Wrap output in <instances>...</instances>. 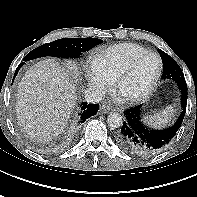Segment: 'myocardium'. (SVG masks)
<instances>
[{
  "instance_id": "myocardium-1",
  "label": "myocardium",
  "mask_w": 197,
  "mask_h": 197,
  "mask_svg": "<svg viewBox=\"0 0 197 197\" xmlns=\"http://www.w3.org/2000/svg\"><path fill=\"white\" fill-rule=\"evenodd\" d=\"M147 56H154L158 60V70H157L155 77L151 81L150 85L147 87L146 90H144L142 93H140L138 95H134V96L122 95L120 93V88H121L122 84L126 81V79L129 77V75L132 73V71L135 68V66L137 65V63L141 59H143L144 57H147ZM162 71H163V62H162V58L160 57V55L158 53L147 51L145 53L139 54L136 57H134L123 68V70L119 73V75L117 76V78L114 81L113 92H114L115 96L117 97V99L119 101H121L122 103L134 104V103L141 102V101L145 100L146 98H148L153 93V91L155 90V88L161 78Z\"/></svg>"
}]
</instances>
